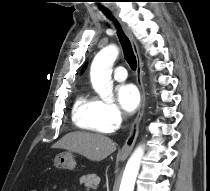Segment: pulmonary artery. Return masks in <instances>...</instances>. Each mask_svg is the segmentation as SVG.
Returning <instances> with one entry per match:
<instances>
[{
  "label": "pulmonary artery",
  "mask_w": 210,
  "mask_h": 191,
  "mask_svg": "<svg viewBox=\"0 0 210 191\" xmlns=\"http://www.w3.org/2000/svg\"><path fill=\"white\" fill-rule=\"evenodd\" d=\"M113 76L116 81L122 82L127 78V71L123 66H118L114 69Z\"/></svg>",
  "instance_id": "e3ab8cb5"
}]
</instances>
